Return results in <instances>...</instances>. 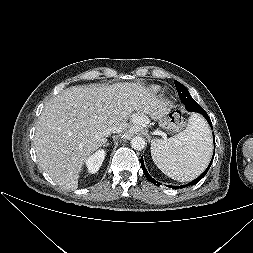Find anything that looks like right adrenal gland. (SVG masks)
Segmentation results:
<instances>
[{
    "label": "right adrenal gland",
    "mask_w": 253,
    "mask_h": 253,
    "mask_svg": "<svg viewBox=\"0 0 253 253\" xmlns=\"http://www.w3.org/2000/svg\"><path fill=\"white\" fill-rule=\"evenodd\" d=\"M109 144L107 143V139L103 143V147H107Z\"/></svg>",
    "instance_id": "1"
}]
</instances>
